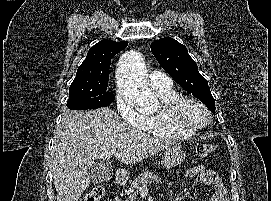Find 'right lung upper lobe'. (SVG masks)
Instances as JSON below:
<instances>
[{
  "instance_id": "right-lung-upper-lobe-1",
  "label": "right lung upper lobe",
  "mask_w": 271,
  "mask_h": 201,
  "mask_svg": "<svg viewBox=\"0 0 271 201\" xmlns=\"http://www.w3.org/2000/svg\"><path fill=\"white\" fill-rule=\"evenodd\" d=\"M127 45L128 41L101 40L90 48L86 59L77 70V76L109 74L111 59Z\"/></svg>"
}]
</instances>
